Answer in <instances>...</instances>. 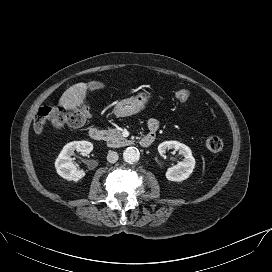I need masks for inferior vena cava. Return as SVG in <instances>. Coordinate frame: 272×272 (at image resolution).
Segmentation results:
<instances>
[{"mask_svg":"<svg viewBox=\"0 0 272 272\" xmlns=\"http://www.w3.org/2000/svg\"><path fill=\"white\" fill-rule=\"evenodd\" d=\"M118 153L115 151H109L107 154V161L110 163H115L118 160Z\"/></svg>","mask_w":272,"mask_h":272,"instance_id":"602c4592","label":"inferior vena cava"}]
</instances>
